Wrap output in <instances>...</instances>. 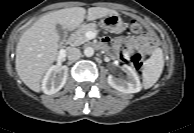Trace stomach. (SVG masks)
Returning <instances> with one entry per match:
<instances>
[{
    "instance_id": "obj_1",
    "label": "stomach",
    "mask_w": 194,
    "mask_h": 133,
    "mask_svg": "<svg viewBox=\"0 0 194 133\" xmlns=\"http://www.w3.org/2000/svg\"><path fill=\"white\" fill-rule=\"evenodd\" d=\"M100 25L105 30L116 34H119L124 30V23L119 14H112L103 17L100 21Z\"/></svg>"
}]
</instances>
